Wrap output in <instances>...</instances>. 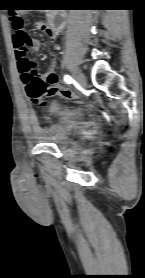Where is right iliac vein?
I'll return each mask as SVG.
<instances>
[{"mask_svg": "<svg viewBox=\"0 0 145 278\" xmlns=\"http://www.w3.org/2000/svg\"><path fill=\"white\" fill-rule=\"evenodd\" d=\"M72 76L74 77L75 81L81 85L85 86L86 85V77L85 75L77 68L72 69Z\"/></svg>", "mask_w": 145, "mask_h": 278, "instance_id": "right-iliac-vein-1", "label": "right iliac vein"}]
</instances>
